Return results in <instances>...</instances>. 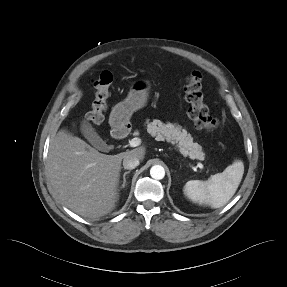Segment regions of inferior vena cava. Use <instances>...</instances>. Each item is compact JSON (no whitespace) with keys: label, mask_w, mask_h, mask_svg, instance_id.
<instances>
[{"label":"inferior vena cava","mask_w":287,"mask_h":287,"mask_svg":"<svg viewBox=\"0 0 287 287\" xmlns=\"http://www.w3.org/2000/svg\"><path fill=\"white\" fill-rule=\"evenodd\" d=\"M139 165V158L134 155H127L123 159V167L125 169H134Z\"/></svg>","instance_id":"obj_1"}]
</instances>
